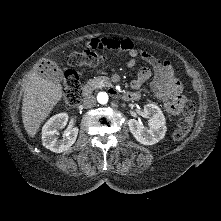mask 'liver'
<instances>
[{
	"instance_id": "1",
	"label": "liver",
	"mask_w": 221,
	"mask_h": 221,
	"mask_svg": "<svg viewBox=\"0 0 221 221\" xmlns=\"http://www.w3.org/2000/svg\"><path fill=\"white\" fill-rule=\"evenodd\" d=\"M62 96V86L58 82L42 79L36 68L29 73L24 86L22 120L30 137L37 134L41 123Z\"/></svg>"
}]
</instances>
